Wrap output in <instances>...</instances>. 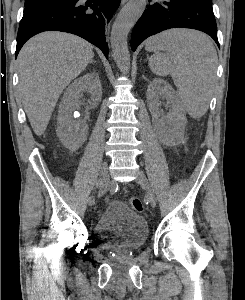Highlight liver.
I'll use <instances>...</instances> for the list:
<instances>
[{"label": "liver", "instance_id": "1", "mask_svg": "<svg viewBox=\"0 0 245 300\" xmlns=\"http://www.w3.org/2000/svg\"><path fill=\"white\" fill-rule=\"evenodd\" d=\"M93 57L92 45L69 33L43 32L23 46L17 58L19 94L37 136L46 130L63 90Z\"/></svg>", "mask_w": 245, "mask_h": 300}]
</instances>
